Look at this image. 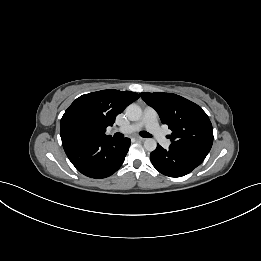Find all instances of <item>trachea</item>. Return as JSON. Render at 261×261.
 I'll use <instances>...</instances> for the list:
<instances>
[{
  "label": "trachea",
  "instance_id": "trachea-1",
  "mask_svg": "<svg viewBox=\"0 0 261 261\" xmlns=\"http://www.w3.org/2000/svg\"><path fill=\"white\" fill-rule=\"evenodd\" d=\"M140 135H141L142 137H144V138L152 137V135L149 134V133L146 132V131L141 132ZM115 138H117V139H122V138H123V135H122L121 133H116V134H115Z\"/></svg>",
  "mask_w": 261,
  "mask_h": 261
}]
</instances>
